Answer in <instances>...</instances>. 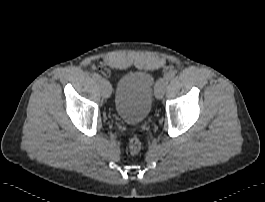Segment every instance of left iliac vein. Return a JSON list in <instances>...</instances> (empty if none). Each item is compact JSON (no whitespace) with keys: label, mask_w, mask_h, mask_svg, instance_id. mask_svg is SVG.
Listing matches in <instances>:
<instances>
[{"label":"left iliac vein","mask_w":265,"mask_h":202,"mask_svg":"<svg viewBox=\"0 0 265 202\" xmlns=\"http://www.w3.org/2000/svg\"><path fill=\"white\" fill-rule=\"evenodd\" d=\"M169 81L166 77L158 80L156 88H155V97L157 99H161L168 87Z\"/></svg>","instance_id":"4c4485c4"}]
</instances>
